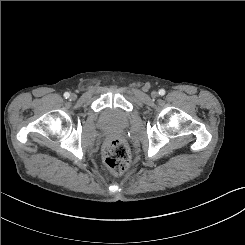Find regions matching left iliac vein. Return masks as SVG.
Instances as JSON below:
<instances>
[{"instance_id":"1","label":"left iliac vein","mask_w":245,"mask_h":245,"mask_svg":"<svg viewBox=\"0 0 245 245\" xmlns=\"http://www.w3.org/2000/svg\"><path fill=\"white\" fill-rule=\"evenodd\" d=\"M151 96H152L153 98H156V97L158 96V92L153 91V92L151 93Z\"/></svg>"}]
</instances>
